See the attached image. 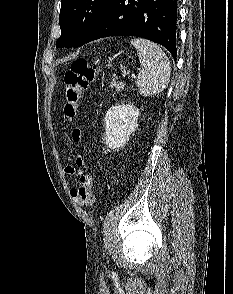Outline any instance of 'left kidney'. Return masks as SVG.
Listing matches in <instances>:
<instances>
[{"instance_id":"left-kidney-1","label":"left kidney","mask_w":233,"mask_h":294,"mask_svg":"<svg viewBox=\"0 0 233 294\" xmlns=\"http://www.w3.org/2000/svg\"><path fill=\"white\" fill-rule=\"evenodd\" d=\"M140 111L133 105L112 106L105 116V143L110 149L126 144L137 128Z\"/></svg>"}]
</instances>
